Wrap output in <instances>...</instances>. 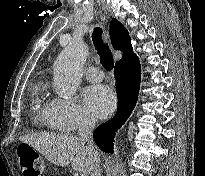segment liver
<instances>
[{
	"mask_svg": "<svg viewBox=\"0 0 205 176\" xmlns=\"http://www.w3.org/2000/svg\"><path fill=\"white\" fill-rule=\"evenodd\" d=\"M19 140L39 151L48 161L57 166L65 167L71 163L74 171L85 176L93 170L96 156L74 136L35 133L24 135Z\"/></svg>",
	"mask_w": 205,
	"mask_h": 176,
	"instance_id": "obj_1",
	"label": "liver"
}]
</instances>
